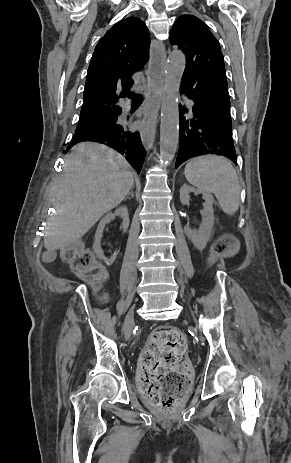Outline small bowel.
Wrapping results in <instances>:
<instances>
[{
  "mask_svg": "<svg viewBox=\"0 0 291 463\" xmlns=\"http://www.w3.org/2000/svg\"><path fill=\"white\" fill-rule=\"evenodd\" d=\"M51 257H52V254H51V253H47V254L45 255V259H50Z\"/></svg>",
  "mask_w": 291,
  "mask_h": 463,
  "instance_id": "c3829d8e",
  "label": "small bowel"
}]
</instances>
